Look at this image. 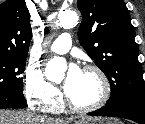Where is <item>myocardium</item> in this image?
Returning <instances> with one entry per match:
<instances>
[{
  "mask_svg": "<svg viewBox=\"0 0 145 124\" xmlns=\"http://www.w3.org/2000/svg\"><path fill=\"white\" fill-rule=\"evenodd\" d=\"M82 71L96 74L100 80L102 91H101L100 98L96 102L90 105H85V106L76 105L70 100V98L65 93L64 101H65L66 106L69 109H71L73 112L80 113V114L91 113V112L99 110L108 102L111 95L110 81L107 75L105 74V72L101 68H99L96 65H85L82 68Z\"/></svg>",
  "mask_w": 145,
  "mask_h": 124,
  "instance_id": "f54148a6",
  "label": "myocardium"
}]
</instances>
